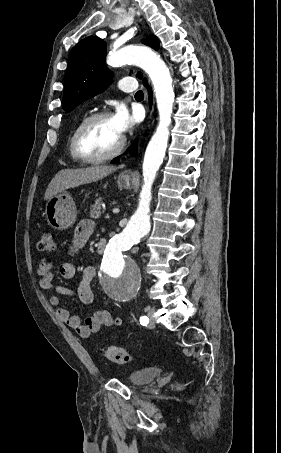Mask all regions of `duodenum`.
I'll list each match as a JSON object with an SVG mask.
<instances>
[{"label":"duodenum","mask_w":281,"mask_h":453,"mask_svg":"<svg viewBox=\"0 0 281 453\" xmlns=\"http://www.w3.org/2000/svg\"><path fill=\"white\" fill-rule=\"evenodd\" d=\"M105 248H106V241L103 239L99 240L97 243V247H96L97 253L100 255L103 254L105 251Z\"/></svg>","instance_id":"1"}]
</instances>
